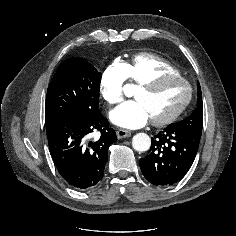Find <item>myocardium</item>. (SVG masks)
<instances>
[{"mask_svg":"<svg viewBox=\"0 0 236 236\" xmlns=\"http://www.w3.org/2000/svg\"><path fill=\"white\" fill-rule=\"evenodd\" d=\"M168 80H179L183 82L187 88V96L185 100L182 102V104L169 115L161 117V118L151 119L152 124L157 125V126L170 124L173 121H175L188 107V105L191 102L192 95H193V90L190 83L180 74H174V73H165V74L158 75L146 82L141 83L138 89H144V90L154 89L160 84H162L163 82L168 81Z\"/></svg>","mask_w":236,"mask_h":236,"instance_id":"myocardium-1","label":"myocardium"}]
</instances>
